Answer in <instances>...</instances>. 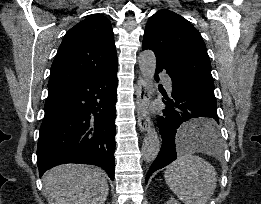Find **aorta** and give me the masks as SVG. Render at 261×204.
<instances>
[{
	"label": "aorta",
	"instance_id": "aorta-1",
	"mask_svg": "<svg viewBox=\"0 0 261 204\" xmlns=\"http://www.w3.org/2000/svg\"><path fill=\"white\" fill-rule=\"evenodd\" d=\"M139 68L147 84L152 83L156 69V57L153 51L144 50L138 57ZM160 150V140L158 133L150 127L144 137L142 144V156L146 162L156 159Z\"/></svg>",
	"mask_w": 261,
	"mask_h": 204
}]
</instances>
